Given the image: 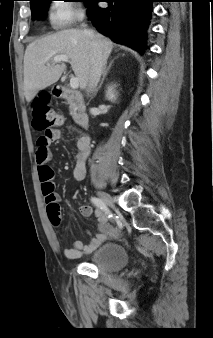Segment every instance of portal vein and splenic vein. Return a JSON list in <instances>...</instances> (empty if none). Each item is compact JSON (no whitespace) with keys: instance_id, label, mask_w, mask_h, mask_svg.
<instances>
[{"instance_id":"18ae733b","label":"portal vein and splenic vein","mask_w":213,"mask_h":338,"mask_svg":"<svg viewBox=\"0 0 213 338\" xmlns=\"http://www.w3.org/2000/svg\"><path fill=\"white\" fill-rule=\"evenodd\" d=\"M68 62L69 58L66 55H57L53 58V62L54 63H59V62ZM48 66H50V64H47ZM70 87L72 89H77L79 87V81L77 77H71L70 79Z\"/></svg>"}]
</instances>
